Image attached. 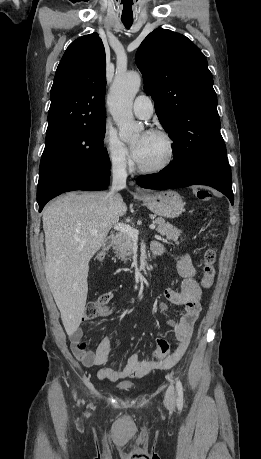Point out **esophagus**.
I'll list each match as a JSON object with an SVG mask.
<instances>
[{"instance_id":"34e87169","label":"esophagus","mask_w":261,"mask_h":459,"mask_svg":"<svg viewBox=\"0 0 261 459\" xmlns=\"http://www.w3.org/2000/svg\"><path fill=\"white\" fill-rule=\"evenodd\" d=\"M136 192H137L138 194H140V195H144V194H145L144 190H142V189L139 188V187L136 188Z\"/></svg>"}]
</instances>
